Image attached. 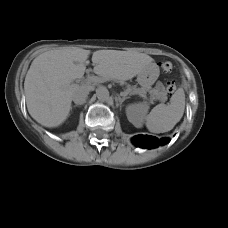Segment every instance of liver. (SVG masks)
<instances>
[{
	"label": "liver",
	"mask_w": 228,
	"mask_h": 228,
	"mask_svg": "<svg viewBox=\"0 0 228 228\" xmlns=\"http://www.w3.org/2000/svg\"><path fill=\"white\" fill-rule=\"evenodd\" d=\"M89 50L67 48L45 52L36 57L25 77L24 92L31 117L45 127H57L68 117L72 93L86 70ZM142 53L117 50L93 52L94 73L104 80H130L152 64ZM89 88L87 85H82Z\"/></svg>",
	"instance_id": "obj_1"
}]
</instances>
